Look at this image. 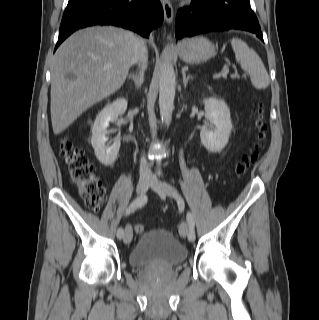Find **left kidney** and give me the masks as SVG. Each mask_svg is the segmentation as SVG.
<instances>
[{"mask_svg": "<svg viewBox=\"0 0 319 320\" xmlns=\"http://www.w3.org/2000/svg\"><path fill=\"white\" fill-rule=\"evenodd\" d=\"M203 103L205 118L210 126L201 129V143L209 152L220 153L227 145L232 131L230 109L223 100L216 98L204 99Z\"/></svg>", "mask_w": 319, "mask_h": 320, "instance_id": "left-kidney-1", "label": "left kidney"}]
</instances>
